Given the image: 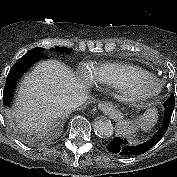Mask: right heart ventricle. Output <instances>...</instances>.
Masks as SVG:
<instances>
[{
    "mask_svg": "<svg viewBox=\"0 0 177 177\" xmlns=\"http://www.w3.org/2000/svg\"><path fill=\"white\" fill-rule=\"evenodd\" d=\"M143 74L150 73L139 66L128 63L107 62L95 68L97 81L113 88H119L127 75L138 76Z\"/></svg>",
    "mask_w": 177,
    "mask_h": 177,
    "instance_id": "e07e8e85",
    "label": "right heart ventricle"
}]
</instances>
